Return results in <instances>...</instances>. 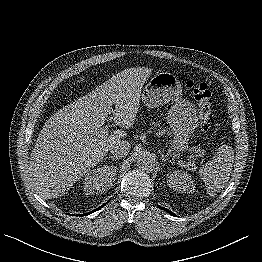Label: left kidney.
<instances>
[{"mask_svg": "<svg viewBox=\"0 0 262 262\" xmlns=\"http://www.w3.org/2000/svg\"><path fill=\"white\" fill-rule=\"evenodd\" d=\"M167 183L169 187L179 193H193L196 188L192 177L181 170H175L167 174Z\"/></svg>", "mask_w": 262, "mask_h": 262, "instance_id": "5707ae66", "label": "left kidney"}]
</instances>
